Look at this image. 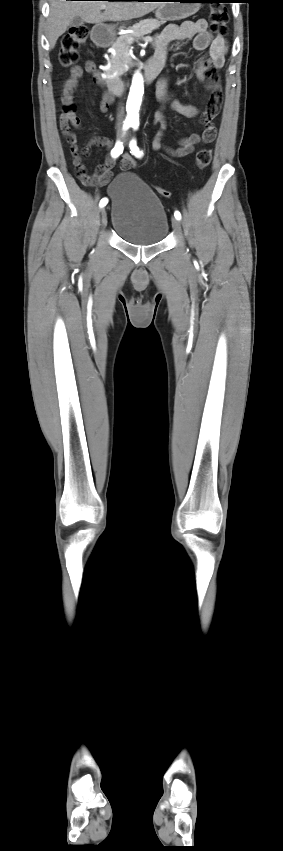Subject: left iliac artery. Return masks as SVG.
Segmentation results:
<instances>
[{
  "mask_svg": "<svg viewBox=\"0 0 283 851\" xmlns=\"http://www.w3.org/2000/svg\"><path fill=\"white\" fill-rule=\"evenodd\" d=\"M132 127L136 130V129L138 128V124H133V125H132ZM129 147H130V149H131V153H132L134 156H136V157H141V156L143 155V152H142V151H140V150H139V148H138V146H137V142H136V139H135V138H134V139H132V141H131V142H130V144H129ZM174 216H175V218H176V219H178V220H180V219H181V214H180V212H179V211H175Z\"/></svg>",
  "mask_w": 283,
  "mask_h": 851,
  "instance_id": "left-iliac-artery-1",
  "label": "left iliac artery"
}]
</instances>
